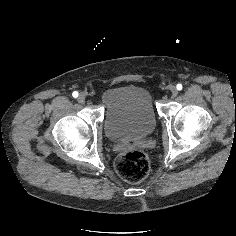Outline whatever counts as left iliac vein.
<instances>
[{
	"label": "left iliac vein",
	"instance_id": "1",
	"mask_svg": "<svg viewBox=\"0 0 236 236\" xmlns=\"http://www.w3.org/2000/svg\"><path fill=\"white\" fill-rule=\"evenodd\" d=\"M172 97H175L178 93L177 89L174 86L169 87Z\"/></svg>",
	"mask_w": 236,
	"mask_h": 236
}]
</instances>
